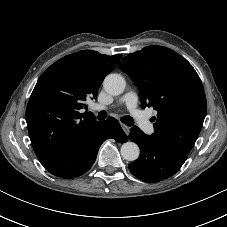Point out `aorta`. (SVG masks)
Instances as JSON below:
<instances>
[{
  "instance_id": "762f6f07",
  "label": "aorta",
  "mask_w": 227,
  "mask_h": 227,
  "mask_svg": "<svg viewBox=\"0 0 227 227\" xmlns=\"http://www.w3.org/2000/svg\"><path fill=\"white\" fill-rule=\"evenodd\" d=\"M125 80L120 74H109L103 81V86L106 92L117 96L123 93L125 89ZM121 156L127 161H135L140 154L138 145L128 141L121 146Z\"/></svg>"
}]
</instances>
